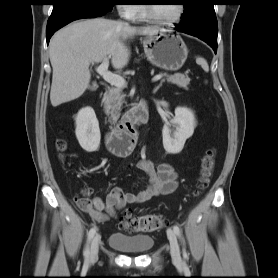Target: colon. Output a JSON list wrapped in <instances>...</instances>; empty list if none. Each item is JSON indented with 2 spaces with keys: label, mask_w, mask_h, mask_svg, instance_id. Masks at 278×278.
<instances>
[{
  "label": "colon",
  "mask_w": 278,
  "mask_h": 278,
  "mask_svg": "<svg viewBox=\"0 0 278 278\" xmlns=\"http://www.w3.org/2000/svg\"><path fill=\"white\" fill-rule=\"evenodd\" d=\"M57 147L60 151L66 149L64 140H58ZM214 167V151L208 150L202 158L200 172V189L203 188L211 176ZM84 195L88 194L87 190L82 191ZM199 191L196 192L198 194ZM119 227L124 230H132L136 232H151L160 229L165 225L164 219L156 214L132 215L125 212L124 216L119 220Z\"/></svg>",
  "instance_id": "5ec220e1"
}]
</instances>
